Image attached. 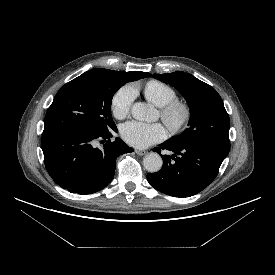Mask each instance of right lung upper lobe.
I'll return each mask as SVG.
<instances>
[{
  "mask_svg": "<svg viewBox=\"0 0 275 275\" xmlns=\"http://www.w3.org/2000/svg\"><path fill=\"white\" fill-rule=\"evenodd\" d=\"M103 72L116 73L126 82L135 81V80H139V79L151 76V74L147 73V72H140V71L118 72V71H113V70H108V69H103V68H95V69L85 72L84 74H100Z\"/></svg>",
  "mask_w": 275,
  "mask_h": 275,
  "instance_id": "obj_1",
  "label": "right lung upper lobe"
}]
</instances>
